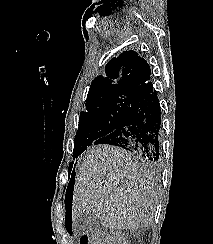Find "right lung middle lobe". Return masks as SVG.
Listing matches in <instances>:
<instances>
[{
  "label": "right lung middle lobe",
  "instance_id": "dd1d6c3e",
  "mask_svg": "<svg viewBox=\"0 0 213 244\" xmlns=\"http://www.w3.org/2000/svg\"><path fill=\"white\" fill-rule=\"evenodd\" d=\"M135 97L130 94H117L88 102L86 111L81 112L79 117L73 158H76L97 139L113 132L125 116Z\"/></svg>",
  "mask_w": 213,
  "mask_h": 244
}]
</instances>
